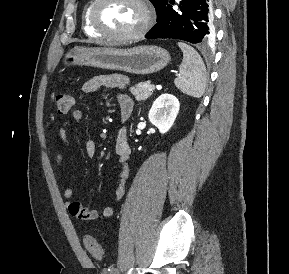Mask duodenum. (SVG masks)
Segmentation results:
<instances>
[{"label":"duodenum","instance_id":"1","mask_svg":"<svg viewBox=\"0 0 289 274\" xmlns=\"http://www.w3.org/2000/svg\"><path fill=\"white\" fill-rule=\"evenodd\" d=\"M129 115L130 114L127 111H125V112H123L122 117H123V119H126V118H128Z\"/></svg>","mask_w":289,"mask_h":274}]
</instances>
